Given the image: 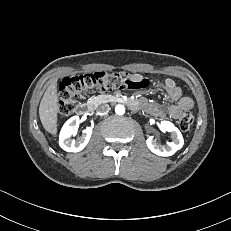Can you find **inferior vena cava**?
Here are the masks:
<instances>
[{
    "mask_svg": "<svg viewBox=\"0 0 231 231\" xmlns=\"http://www.w3.org/2000/svg\"><path fill=\"white\" fill-rule=\"evenodd\" d=\"M109 110H110V106L108 104H102L97 108V111L102 115L107 114Z\"/></svg>",
    "mask_w": 231,
    "mask_h": 231,
    "instance_id": "602c4592",
    "label": "inferior vena cava"
}]
</instances>
